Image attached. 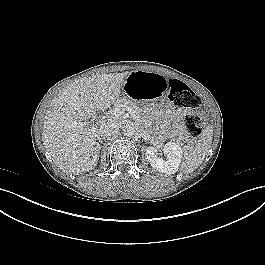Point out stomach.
Returning a JSON list of instances; mask_svg holds the SVG:
<instances>
[{
  "mask_svg": "<svg viewBox=\"0 0 265 265\" xmlns=\"http://www.w3.org/2000/svg\"><path fill=\"white\" fill-rule=\"evenodd\" d=\"M167 79L155 72L134 71L129 74L123 92L132 97L137 107L152 111L161 106L165 98Z\"/></svg>",
  "mask_w": 265,
  "mask_h": 265,
  "instance_id": "1",
  "label": "stomach"
}]
</instances>
